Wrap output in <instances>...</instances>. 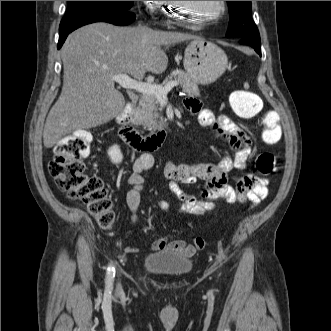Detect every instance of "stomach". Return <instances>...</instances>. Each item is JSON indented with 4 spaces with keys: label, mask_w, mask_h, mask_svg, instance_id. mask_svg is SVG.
<instances>
[{
    "label": "stomach",
    "mask_w": 331,
    "mask_h": 331,
    "mask_svg": "<svg viewBox=\"0 0 331 331\" xmlns=\"http://www.w3.org/2000/svg\"><path fill=\"white\" fill-rule=\"evenodd\" d=\"M228 58L216 44L205 39H194L184 52V68L190 78L207 85L216 81L226 70Z\"/></svg>",
    "instance_id": "0dacf381"
}]
</instances>
